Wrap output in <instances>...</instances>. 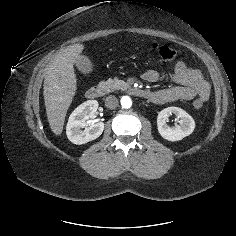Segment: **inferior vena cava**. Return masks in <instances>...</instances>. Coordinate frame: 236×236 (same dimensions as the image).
<instances>
[{
  "instance_id": "602c4592",
  "label": "inferior vena cava",
  "mask_w": 236,
  "mask_h": 236,
  "mask_svg": "<svg viewBox=\"0 0 236 236\" xmlns=\"http://www.w3.org/2000/svg\"><path fill=\"white\" fill-rule=\"evenodd\" d=\"M118 104H119V101L115 96L110 95L106 97L105 99V106L108 109H115L118 107Z\"/></svg>"
}]
</instances>
